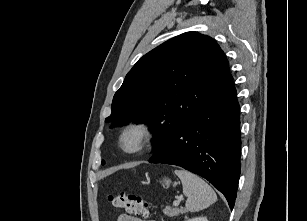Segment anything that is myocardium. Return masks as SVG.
<instances>
[{
	"instance_id": "f54148a6",
	"label": "myocardium",
	"mask_w": 307,
	"mask_h": 221,
	"mask_svg": "<svg viewBox=\"0 0 307 221\" xmlns=\"http://www.w3.org/2000/svg\"><path fill=\"white\" fill-rule=\"evenodd\" d=\"M134 134L136 136V144L128 148L125 145L127 136ZM153 137V128L147 121H134L127 124L121 131L118 139L120 150L127 155H134L143 151Z\"/></svg>"
}]
</instances>
